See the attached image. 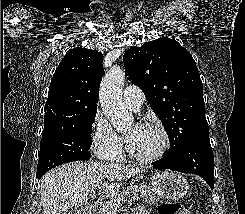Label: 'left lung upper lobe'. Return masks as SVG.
I'll use <instances>...</instances> for the list:
<instances>
[{
	"mask_svg": "<svg viewBox=\"0 0 245 214\" xmlns=\"http://www.w3.org/2000/svg\"><path fill=\"white\" fill-rule=\"evenodd\" d=\"M123 61L125 75L142 89L168 133V153L195 139L209 138L202 81L184 47L163 37L130 48Z\"/></svg>",
	"mask_w": 245,
	"mask_h": 214,
	"instance_id": "left-lung-upper-lobe-1",
	"label": "left lung upper lobe"
}]
</instances>
